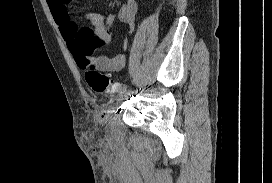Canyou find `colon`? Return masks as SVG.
I'll return each instance as SVG.
<instances>
[{
    "instance_id": "5ec220e1",
    "label": "colon",
    "mask_w": 272,
    "mask_h": 183,
    "mask_svg": "<svg viewBox=\"0 0 272 183\" xmlns=\"http://www.w3.org/2000/svg\"><path fill=\"white\" fill-rule=\"evenodd\" d=\"M85 79L90 88L97 93H111L118 88L108 74L99 71L93 66H89L85 70Z\"/></svg>"
}]
</instances>
